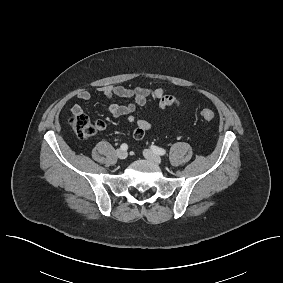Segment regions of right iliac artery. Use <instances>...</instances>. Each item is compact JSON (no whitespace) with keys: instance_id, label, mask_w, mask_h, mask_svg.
Listing matches in <instances>:
<instances>
[{"instance_id":"obj_1","label":"right iliac artery","mask_w":283,"mask_h":283,"mask_svg":"<svg viewBox=\"0 0 283 283\" xmlns=\"http://www.w3.org/2000/svg\"><path fill=\"white\" fill-rule=\"evenodd\" d=\"M121 149L126 151V150L128 149V145L125 144V143L122 144V145H121Z\"/></svg>"}]
</instances>
